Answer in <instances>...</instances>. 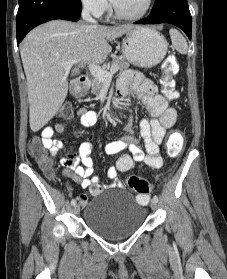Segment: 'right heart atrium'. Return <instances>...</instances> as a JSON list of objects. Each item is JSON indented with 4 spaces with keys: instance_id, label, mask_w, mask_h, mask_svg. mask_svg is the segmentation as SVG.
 Returning <instances> with one entry per match:
<instances>
[{
    "instance_id": "right-heart-atrium-1",
    "label": "right heart atrium",
    "mask_w": 227,
    "mask_h": 279,
    "mask_svg": "<svg viewBox=\"0 0 227 279\" xmlns=\"http://www.w3.org/2000/svg\"><path fill=\"white\" fill-rule=\"evenodd\" d=\"M85 9L100 16L109 8L108 0H80Z\"/></svg>"
}]
</instances>
